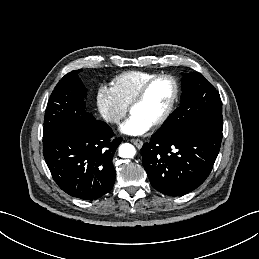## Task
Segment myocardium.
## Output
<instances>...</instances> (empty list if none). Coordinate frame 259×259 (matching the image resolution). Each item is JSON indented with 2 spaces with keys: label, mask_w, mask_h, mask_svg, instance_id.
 <instances>
[{
  "label": "myocardium",
  "mask_w": 259,
  "mask_h": 259,
  "mask_svg": "<svg viewBox=\"0 0 259 259\" xmlns=\"http://www.w3.org/2000/svg\"><path fill=\"white\" fill-rule=\"evenodd\" d=\"M160 79H166V80H169L172 83L173 94H172L171 100H170L166 110L164 111V113L161 115V117L158 120H156L153 124H151V126L154 127V128L159 127L162 124H164L174 110V107L176 105L178 95H179V85H178V82L175 79V77H173L170 74H158V75L153 76L152 78H150L148 81H146L142 85V87L139 89V91L136 93V95L132 99V101L130 103V106H129L130 111H132V108L136 104H138L145 97V95H146L148 89L150 88V86L155 81L160 80Z\"/></svg>",
  "instance_id": "obj_1"
}]
</instances>
